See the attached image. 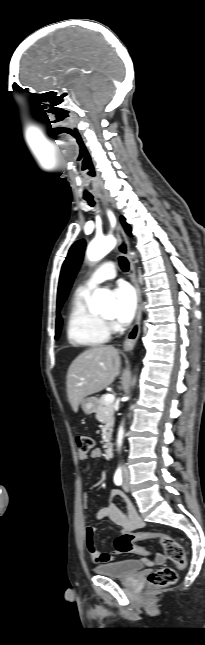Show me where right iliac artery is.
I'll return each instance as SVG.
<instances>
[{"instance_id": "82829eb1", "label": "right iliac artery", "mask_w": 205, "mask_h": 645, "mask_svg": "<svg viewBox=\"0 0 205 645\" xmlns=\"http://www.w3.org/2000/svg\"><path fill=\"white\" fill-rule=\"evenodd\" d=\"M114 482L116 485H121L122 484V475H121V469H118L115 473L114 476Z\"/></svg>"}]
</instances>
